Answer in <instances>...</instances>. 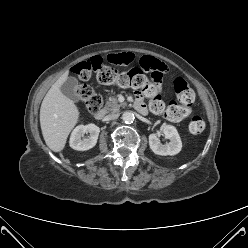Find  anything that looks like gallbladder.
Returning <instances> with one entry per match:
<instances>
[{
    "instance_id": "gallbladder-1",
    "label": "gallbladder",
    "mask_w": 248,
    "mask_h": 248,
    "mask_svg": "<svg viewBox=\"0 0 248 248\" xmlns=\"http://www.w3.org/2000/svg\"><path fill=\"white\" fill-rule=\"evenodd\" d=\"M78 80L75 77H69L60 87L61 92L71 100L77 101L76 93Z\"/></svg>"
}]
</instances>
